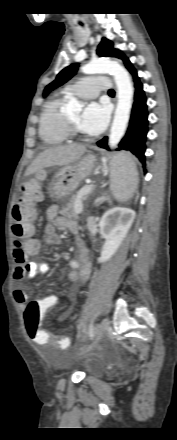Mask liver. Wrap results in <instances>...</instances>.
<instances>
[{
  "instance_id": "liver-1",
  "label": "liver",
  "mask_w": 177,
  "mask_h": 440,
  "mask_svg": "<svg viewBox=\"0 0 177 440\" xmlns=\"http://www.w3.org/2000/svg\"><path fill=\"white\" fill-rule=\"evenodd\" d=\"M87 151L83 144H71L52 147L41 152L31 163L25 172V176H29L40 169L51 166H65L79 160ZM123 161H116L112 164L111 172L116 173L119 164Z\"/></svg>"
}]
</instances>
